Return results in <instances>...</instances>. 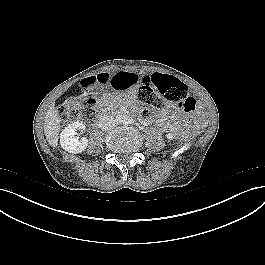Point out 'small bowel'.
<instances>
[{"label": "small bowel", "mask_w": 265, "mask_h": 265, "mask_svg": "<svg viewBox=\"0 0 265 265\" xmlns=\"http://www.w3.org/2000/svg\"><path fill=\"white\" fill-rule=\"evenodd\" d=\"M113 78V80H112ZM137 78L133 72L130 71H120L118 73H104V74H90L87 78L78 80L74 84V91L78 95H88L93 89H108L111 87L112 83L116 89L122 90L129 88V93L133 94L135 91V84ZM139 83L150 85L149 75L145 74L139 77ZM172 107L170 105H165L158 113L157 117L164 119L169 114ZM165 128H169L171 131H178L179 125L177 122L172 121L168 123Z\"/></svg>", "instance_id": "small-bowel-1"}]
</instances>
